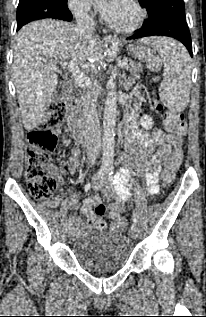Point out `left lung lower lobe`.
I'll return each mask as SVG.
<instances>
[{"label":"left lung lower lobe","instance_id":"0a47b994","mask_svg":"<svg viewBox=\"0 0 206 317\" xmlns=\"http://www.w3.org/2000/svg\"><path fill=\"white\" fill-rule=\"evenodd\" d=\"M155 35L173 37L179 40L186 46L190 55L193 56L190 33L186 20L184 19L164 17L146 22L136 34L127 39H137Z\"/></svg>","mask_w":206,"mask_h":317}]
</instances>
